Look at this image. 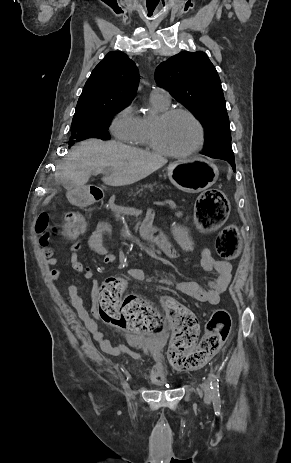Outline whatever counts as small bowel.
Wrapping results in <instances>:
<instances>
[{
	"mask_svg": "<svg viewBox=\"0 0 291 463\" xmlns=\"http://www.w3.org/2000/svg\"><path fill=\"white\" fill-rule=\"evenodd\" d=\"M153 214L149 213L142 225L138 229V237L143 246H159L164 250L169 257L176 258L181 253H189L193 250V241L187 226L181 223H172L169 229L175 237L178 246H172L168 233L161 231L159 226H152ZM111 228L108 222L101 220L97 223L96 228L91 233L88 239V245L96 254L102 257L105 264H112L116 261L115 255L108 249L105 244L106 237L110 234ZM49 235L40 236L39 242L42 246L43 256L46 266L50 269L48 278L57 280L63 276L64 270L58 266L60 260L54 256V249L49 246ZM82 248V244L74 242L70 248V264L84 279H92L94 296L98 290V282L94 279L93 271L86 266L78 257V253ZM200 267L204 272H214L216 276L210 280L202 281H174L167 277H158L140 268L129 270V275L138 281L161 282L174 285L181 293L189 296L197 301L210 305H217L220 302L221 294L228 288L232 279V267L228 262L216 260L208 248H203L200 252ZM68 302L77 313L78 317L83 321L86 328L93 335L94 339L99 343L103 352L120 356L125 353L121 347L113 346L108 340L104 339L102 333L98 330L97 324L90 316L89 311L84 305V300L79 294V286L76 283L68 285L64 290ZM94 302V297H93ZM156 378H158L156 376Z\"/></svg>",
	"mask_w": 291,
	"mask_h": 463,
	"instance_id": "small-bowel-1",
	"label": "small bowel"
}]
</instances>
